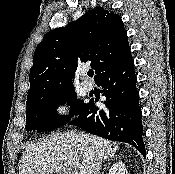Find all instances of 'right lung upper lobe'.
Returning a JSON list of instances; mask_svg holds the SVG:
<instances>
[{
    "instance_id": "obj_1",
    "label": "right lung upper lobe",
    "mask_w": 175,
    "mask_h": 174,
    "mask_svg": "<svg viewBox=\"0 0 175 174\" xmlns=\"http://www.w3.org/2000/svg\"><path fill=\"white\" fill-rule=\"evenodd\" d=\"M130 52L122 19L103 8L88 11L65 27L48 32L38 45L30 70L27 103L73 88L79 63L90 62L95 81Z\"/></svg>"
}]
</instances>
